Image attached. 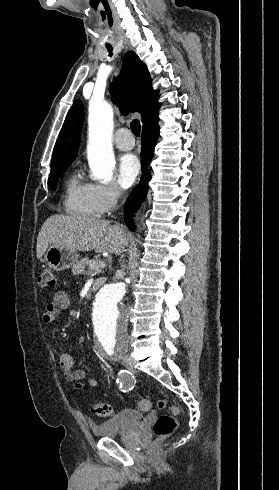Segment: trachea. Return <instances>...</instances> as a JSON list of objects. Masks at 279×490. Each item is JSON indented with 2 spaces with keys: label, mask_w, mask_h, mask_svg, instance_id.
<instances>
[{
  "label": "trachea",
  "mask_w": 279,
  "mask_h": 490,
  "mask_svg": "<svg viewBox=\"0 0 279 490\" xmlns=\"http://www.w3.org/2000/svg\"><path fill=\"white\" fill-rule=\"evenodd\" d=\"M107 48H108L109 51L112 50V47H110V46L107 47ZM130 128H131L132 132L134 133V135L136 137H139V135H140V129H141L139 120H133L131 122Z\"/></svg>",
  "instance_id": "3493384b"
}]
</instances>
